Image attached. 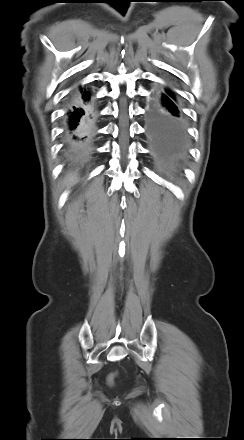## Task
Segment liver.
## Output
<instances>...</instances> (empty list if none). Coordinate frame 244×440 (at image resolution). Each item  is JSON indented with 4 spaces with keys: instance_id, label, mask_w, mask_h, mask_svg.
Returning a JSON list of instances; mask_svg holds the SVG:
<instances>
[{
    "instance_id": "obj_1",
    "label": "liver",
    "mask_w": 244,
    "mask_h": 440,
    "mask_svg": "<svg viewBox=\"0 0 244 440\" xmlns=\"http://www.w3.org/2000/svg\"><path fill=\"white\" fill-rule=\"evenodd\" d=\"M76 181H77L76 176L70 174L69 177H68V179H67V181H66V184H67V185H72V184L75 183Z\"/></svg>"
}]
</instances>
